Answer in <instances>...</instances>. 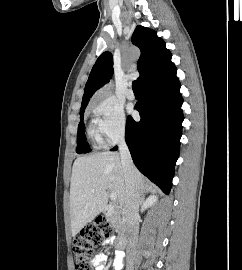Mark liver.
I'll list each match as a JSON object with an SVG mask.
<instances>
[{
	"mask_svg": "<svg viewBox=\"0 0 242 270\" xmlns=\"http://www.w3.org/2000/svg\"><path fill=\"white\" fill-rule=\"evenodd\" d=\"M134 182L138 191L148 185L135 168ZM128 186L121 158L115 152H99L78 157L72 168L70 184L71 233L78 232L99 215L108 203V193H115L120 204H125Z\"/></svg>",
	"mask_w": 242,
	"mask_h": 270,
	"instance_id": "liver-1",
	"label": "liver"
}]
</instances>
